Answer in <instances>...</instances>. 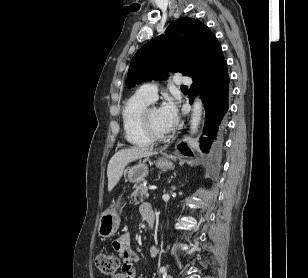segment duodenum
I'll use <instances>...</instances> for the list:
<instances>
[{"label":"duodenum","mask_w":308,"mask_h":278,"mask_svg":"<svg viewBox=\"0 0 308 278\" xmlns=\"http://www.w3.org/2000/svg\"><path fill=\"white\" fill-rule=\"evenodd\" d=\"M146 219H147L149 225L152 227V226L154 225V220H155L154 215L150 214V215H148V216L146 217Z\"/></svg>","instance_id":"1"}]
</instances>
